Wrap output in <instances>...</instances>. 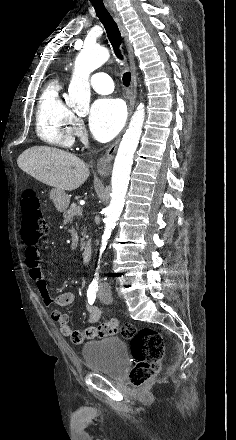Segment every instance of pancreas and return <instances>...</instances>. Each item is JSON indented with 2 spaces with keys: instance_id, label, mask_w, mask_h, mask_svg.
<instances>
[{
  "instance_id": "1",
  "label": "pancreas",
  "mask_w": 236,
  "mask_h": 440,
  "mask_svg": "<svg viewBox=\"0 0 236 440\" xmlns=\"http://www.w3.org/2000/svg\"><path fill=\"white\" fill-rule=\"evenodd\" d=\"M81 208L80 206L77 205H71V207L64 212L63 217H64V223H72V220L75 216L80 215L79 213H77V210ZM83 236H85V232L82 233ZM85 246V242H84V238L81 239V250L84 249Z\"/></svg>"
}]
</instances>
